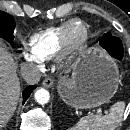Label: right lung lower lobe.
<instances>
[{
    "label": "right lung lower lobe",
    "instance_id": "obj_1",
    "mask_svg": "<svg viewBox=\"0 0 130 130\" xmlns=\"http://www.w3.org/2000/svg\"><path fill=\"white\" fill-rule=\"evenodd\" d=\"M36 88V85H30L26 87L23 91V103L28 99L32 91Z\"/></svg>",
    "mask_w": 130,
    "mask_h": 130
}]
</instances>
